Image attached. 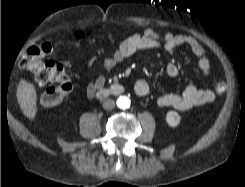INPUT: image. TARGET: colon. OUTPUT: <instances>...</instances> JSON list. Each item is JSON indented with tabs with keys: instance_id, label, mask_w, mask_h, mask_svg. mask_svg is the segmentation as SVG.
Here are the masks:
<instances>
[{
	"instance_id": "5ec220e1",
	"label": "colon",
	"mask_w": 245,
	"mask_h": 187,
	"mask_svg": "<svg viewBox=\"0 0 245 187\" xmlns=\"http://www.w3.org/2000/svg\"><path fill=\"white\" fill-rule=\"evenodd\" d=\"M83 35L76 34V39ZM52 52L48 42H40L30 46L21 60V68L30 72L35 81L41 85L49 84L40 97V102L45 107H52L65 100L72 91V81L68 70L58 62L45 59ZM217 94L226 91L224 82H217L214 86Z\"/></svg>"
}]
</instances>
